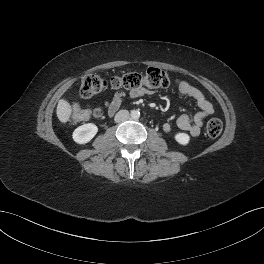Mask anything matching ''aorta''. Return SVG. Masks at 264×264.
Segmentation results:
<instances>
[{
  "label": "aorta",
  "instance_id": "762f6f07",
  "mask_svg": "<svg viewBox=\"0 0 264 264\" xmlns=\"http://www.w3.org/2000/svg\"><path fill=\"white\" fill-rule=\"evenodd\" d=\"M130 115L134 120H138L140 118V112L138 110H132Z\"/></svg>",
  "mask_w": 264,
  "mask_h": 264
}]
</instances>
